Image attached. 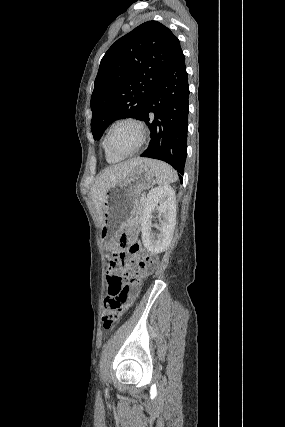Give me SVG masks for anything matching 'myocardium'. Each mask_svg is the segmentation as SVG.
Wrapping results in <instances>:
<instances>
[{"mask_svg":"<svg viewBox=\"0 0 285 427\" xmlns=\"http://www.w3.org/2000/svg\"><path fill=\"white\" fill-rule=\"evenodd\" d=\"M123 123L132 124V125H134L137 128L138 134H139V140H138V143L136 144V146L130 152L124 153V154H119V153L113 152L109 148V146H108V137H109V134H110L111 130L115 126H117L119 124H123ZM146 135H147V130H146V126L143 123V121H141L140 119L134 118V117H124V118H120V119L114 121L109 126V128L107 129L106 134L104 136L103 144H104V147H105L106 151L108 153H110L111 155H114V156H116L118 158H126V157L134 155L143 146V144L145 143V140H146Z\"/></svg>","mask_w":285,"mask_h":427,"instance_id":"f54148a6","label":"myocardium"}]
</instances>
